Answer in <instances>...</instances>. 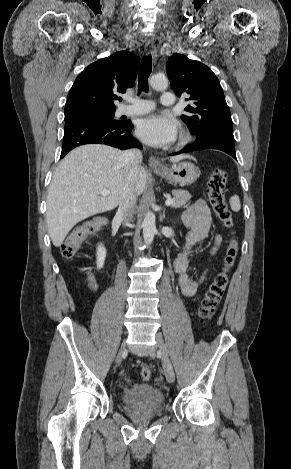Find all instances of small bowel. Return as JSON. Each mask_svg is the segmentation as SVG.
I'll return each instance as SVG.
<instances>
[{"label": "small bowel", "mask_w": 291, "mask_h": 469, "mask_svg": "<svg viewBox=\"0 0 291 469\" xmlns=\"http://www.w3.org/2000/svg\"><path fill=\"white\" fill-rule=\"evenodd\" d=\"M181 220L183 224L189 229V232L181 252L175 259L174 267L176 273L178 274V284L181 292L186 297H194L197 294L200 286L203 284L207 275V271L200 280H196L190 276L186 272L187 253L192 248V246L196 242L203 239L209 231L211 216L206 202L202 199L197 200L182 214ZM222 242L223 237L218 235L215 239L214 247L211 250V256H214L218 252ZM89 284L92 289L96 288V283L92 278H90Z\"/></svg>", "instance_id": "obj_1"}]
</instances>
